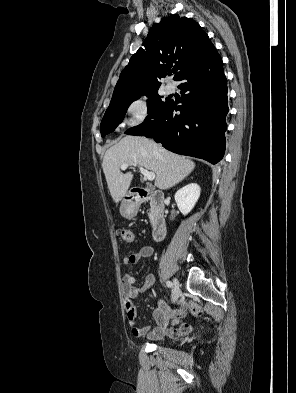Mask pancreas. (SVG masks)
<instances>
[{"label":"pancreas","mask_w":296,"mask_h":393,"mask_svg":"<svg viewBox=\"0 0 296 393\" xmlns=\"http://www.w3.org/2000/svg\"><path fill=\"white\" fill-rule=\"evenodd\" d=\"M149 217H150V219L152 218V215L151 214H149Z\"/></svg>","instance_id":"obj_1"}]
</instances>
